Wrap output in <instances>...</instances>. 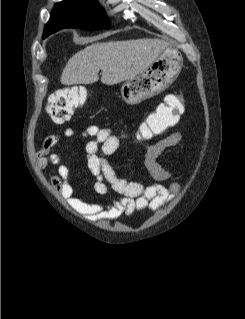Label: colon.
<instances>
[{
  "label": "colon",
  "instance_id": "1",
  "mask_svg": "<svg viewBox=\"0 0 245 319\" xmlns=\"http://www.w3.org/2000/svg\"><path fill=\"white\" fill-rule=\"evenodd\" d=\"M88 93L82 86H72L54 93L47 104V111L54 121H65L87 99ZM183 112L181 94H172L167 101L149 114L140 124L137 137L150 141L172 127Z\"/></svg>",
  "mask_w": 245,
  "mask_h": 319
}]
</instances>
